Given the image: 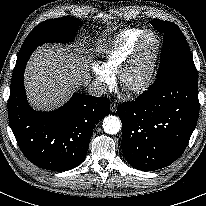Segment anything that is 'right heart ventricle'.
I'll return each mask as SVG.
<instances>
[{
  "instance_id": "obj_1",
  "label": "right heart ventricle",
  "mask_w": 206,
  "mask_h": 206,
  "mask_svg": "<svg viewBox=\"0 0 206 206\" xmlns=\"http://www.w3.org/2000/svg\"><path fill=\"white\" fill-rule=\"evenodd\" d=\"M143 29H127L120 32L106 49L101 68L110 76H115L124 61L133 52Z\"/></svg>"
}]
</instances>
